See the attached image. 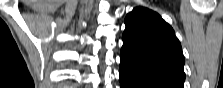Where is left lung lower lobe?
I'll return each mask as SVG.
<instances>
[{
    "label": "left lung lower lobe",
    "instance_id": "left-lung-lower-lobe-1",
    "mask_svg": "<svg viewBox=\"0 0 223 88\" xmlns=\"http://www.w3.org/2000/svg\"><path fill=\"white\" fill-rule=\"evenodd\" d=\"M121 88H179L171 83L141 75L120 65Z\"/></svg>",
    "mask_w": 223,
    "mask_h": 88
}]
</instances>
